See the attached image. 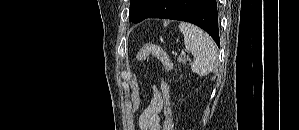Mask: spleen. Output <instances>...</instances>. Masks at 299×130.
<instances>
[{
  "label": "spleen",
  "instance_id": "spleen-1",
  "mask_svg": "<svg viewBox=\"0 0 299 130\" xmlns=\"http://www.w3.org/2000/svg\"><path fill=\"white\" fill-rule=\"evenodd\" d=\"M179 30L184 35V44L193 55L192 72L206 76L213 72L216 60V45L202 29L189 23L181 22Z\"/></svg>",
  "mask_w": 299,
  "mask_h": 130
}]
</instances>
